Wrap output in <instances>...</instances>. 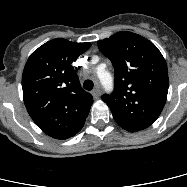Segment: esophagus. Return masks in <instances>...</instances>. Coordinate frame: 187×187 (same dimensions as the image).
<instances>
[{"mask_svg": "<svg viewBox=\"0 0 187 187\" xmlns=\"http://www.w3.org/2000/svg\"><path fill=\"white\" fill-rule=\"evenodd\" d=\"M102 93L101 87L97 85L95 89L92 91V95L95 99H98Z\"/></svg>", "mask_w": 187, "mask_h": 187, "instance_id": "34e87169", "label": "esophagus"}]
</instances>
